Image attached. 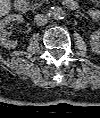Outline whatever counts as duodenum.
I'll return each instance as SVG.
<instances>
[{
    "label": "duodenum",
    "instance_id": "duodenum-1",
    "mask_svg": "<svg viewBox=\"0 0 100 118\" xmlns=\"http://www.w3.org/2000/svg\"><path fill=\"white\" fill-rule=\"evenodd\" d=\"M65 5L70 9H77L78 4L75 0H65ZM15 11L20 14L24 15L29 12V5L25 0H16L15 2Z\"/></svg>",
    "mask_w": 100,
    "mask_h": 118
}]
</instances>
